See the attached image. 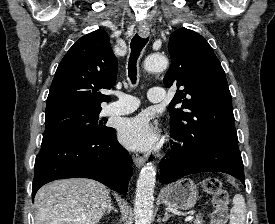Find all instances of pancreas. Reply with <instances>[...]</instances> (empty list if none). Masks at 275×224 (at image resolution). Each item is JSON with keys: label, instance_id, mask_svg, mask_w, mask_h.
<instances>
[{"label": "pancreas", "instance_id": "cf45deb5", "mask_svg": "<svg viewBox=\"0 0 275 224\" xmlns=\"http://www.w3.org/2000/svg\"><path fill=\"white\" fill-rule=\"evenodd\" d=\"M193 224H204L203 217L201 215H196V218L193 220Z\"/></svg>", "mask_w": 275, "mask_h": 224}]
</instances>
